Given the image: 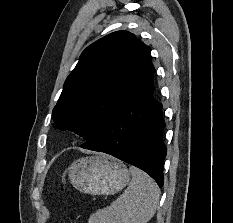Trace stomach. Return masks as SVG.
Returning a JSON list of instances; mask_svg holds the SVG:
<instances>
[{"mask_svg":"<svg viewBox=\"0 0 233 223\" xmlns=\"http://www.w3.org/2000/svg\"><path fill=\"white\" fill-rule=\"evenodd\" d=\"M67 171L72 185L91 195L117 193L131 179V173L124 163L102 153L76 159Z\"/></svg>","mask_w":233,"mask_h":223,"instance_id":"stomach-1","label":"stomach"}]
</instances>
